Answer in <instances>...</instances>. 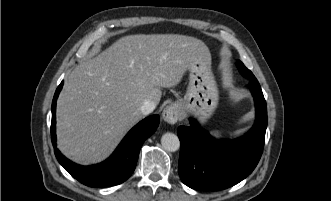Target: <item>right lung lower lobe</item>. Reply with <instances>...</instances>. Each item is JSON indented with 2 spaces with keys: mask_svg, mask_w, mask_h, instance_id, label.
I'll return each mask as SVG.
<instances>
[{
  "mask_svg": "<svg viewBox=\"0 0 331 201\" xmlns=\"http://www.w3.org/2000/svg\"><path fill=\"white\" fill-rule=\"evenodd\" d=\"M62 86L63 81L58 86L52 102L51 138L57 160L72 177L89 187L121 184L133 173L141 146L156 131L159 116H150L132 128L106 161L97 165L81 166L65 158L56 148V100Z\"/></svg>",
  "mask_w": 331,
  "mask_h": 201,
  "instance_id": "obj_1",
  "label": "right lung lower lobe"
}]
</instances>
